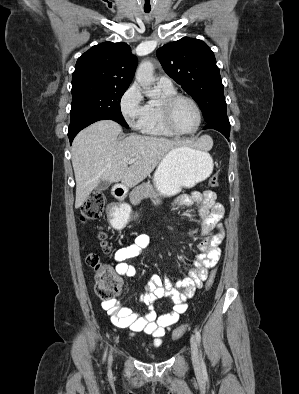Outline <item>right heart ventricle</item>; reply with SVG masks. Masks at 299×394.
I'll return each mask as SVG.
<instances>
[{"instance_id": "obj_1", "label": "right heart ventricle", "mask_w": 299, "mask_h": 394, "mask_svg": "<svg viewBox=\"0 0 299 394\" xmlns=\"http://www.w3.org/2000/svg\"><path fill=\"white\" fill-rule=\"evenodd\" d=\"M157 88L160 92V98L147 102L141 130L144 134L151 136L171 137L174 134L165 128L161 119L160 103L163 99L176 95V90L174 87H164L159 84Z\"/></svg>"}]
</instances>
